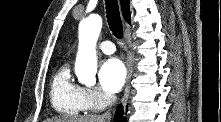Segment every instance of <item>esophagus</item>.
Instances as JSON below:
<instances>
[{
  "label": "esophagus",
  "mask_w": 221,
  "mask_h": 122,
  "mask_svg": "<svg viewBox=\"0 0 221 122\" xmlns=\"http://www.w3.org/2000/svg\"><path fill=\"white\" fill-rule=\"evenodd\" d=\"M126 68H127V78H126V83H125V89H124V94L121 99V103L123 106L127 104L129 94H130V81L132 77V65L129 56L127 57L126 60Z\"/></svg>",
  "instance_id": "1"
}]
</instances>
